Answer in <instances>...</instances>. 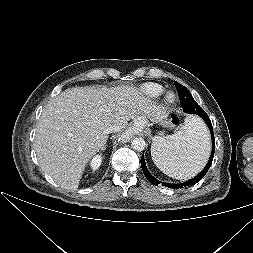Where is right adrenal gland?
Here are the masks:
<instances>
[{
  "mask_svg": "<svg viewBox=\"0 0 253 253\" xmlns=\"http://www.w3.org/2000/svg\"><path fill=\"white\" fill-rule=\"evenodd\" d=\"M105 148H106V143L103 145L101 150H105Z\"/></svg>",
  "mask_w": 253,
  "mask_h": 253,
  "instance_id": "1",
  "label": "right adrenal gland"
}]
</instances>
